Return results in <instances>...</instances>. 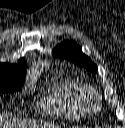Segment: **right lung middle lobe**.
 I'll use <instances>...</instances> for the list:
<instances>
[{
    "label": "right lung middle lobe",
    "instance_id": "dd1d6c3e",
    "mask_svg": "<svg viewBox=\"0 0 125 128\" xmlns=\"http://www.w3.org/2000/svg\"><path fill=\"white\" fill-rule=\"evenodd\" d=\"M25 81V73L0 70V91L13 93L19 91Z\"/></svg>",
    "mask_w": 125,
    "mask_h": 128
}]
</instances>
